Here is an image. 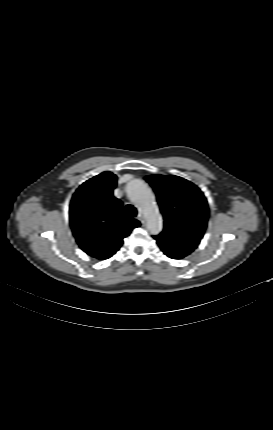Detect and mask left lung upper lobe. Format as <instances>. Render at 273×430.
Here are the masks:
<instances>
[{
	"label": "left lung upper lobe",
	"mask_w": 273,
	"mask_h": 430,
	"mask_svg": "<svg viewBox=\"0 0 273 430\" xmlns=\"http://www.w3.org/2000/svg\"><path fill=\"white\" fill-rule=\"evenodd\" d=\"M153 187L164 217L163 231L154 236L172 259L190 254L202 239L208 221V204L200 189L178 176L145 177Z\"/></svg>",
	"instance_id": "5c2ea615"
}]
</instances>
